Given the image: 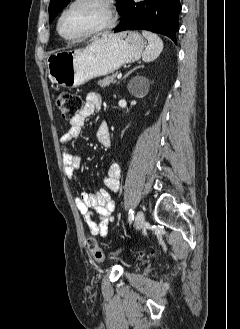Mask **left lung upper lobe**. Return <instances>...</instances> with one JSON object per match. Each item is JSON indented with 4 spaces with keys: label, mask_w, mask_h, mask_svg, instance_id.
I'll return each mask as SVG.
<instances>
[{
    "label": "left lung upper lobe",
    "mask_w": 240,
    "mask_h": 329,
    "mask_svg": "<svg viewBox=\"0 0 240 329\" xmlns=\"http://www.w3.org/2000/svg\"><path fill=\"white\" fill-rule=\"evenodd\" d=\"M71 0H51L49 5V20H52L61 12ZM118 3L117 11L121 14L126 0H116Z\"/></svg>",
    "instance_id": "5c2ea615"
}]
</instances>
